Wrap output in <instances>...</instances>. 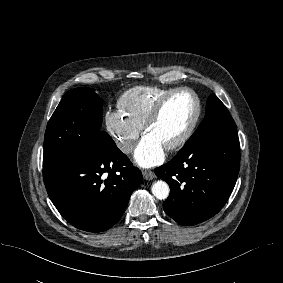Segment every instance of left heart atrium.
<instances>
[{"label":"left heart atrium","instance_id":"1","mask_svg":"<svg viewBox=\"0 0 283 283\" xmlns=\"http://www.w3.org/2000/svg\"><path fill=\"white\" fill-rule=\"evenodd\" d=\"M134 158L142 167L156 166L164 160V147L158 141L145 135L135 151Z\"/></svg>","mask_w":283,"mask_h":283}]
</instances>
